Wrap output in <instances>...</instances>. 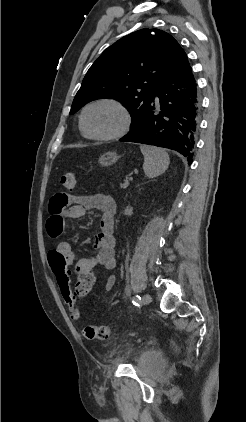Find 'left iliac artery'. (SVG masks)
<instances>
[{
    "mask_svg": "<svg viewBox=\"0 0 246 422\" xmlns=\"http://www.w3.org/2000/svg\"><path fill=\"white\" fill-rule=\"evenodd\" d=\"M140 301H141V298L139 295H135L132 299V302L134 305H139Z\"/></svg>",
    "mask_w": 246,
    "mask_h": 422,
    "instance_id": "obj_1",
    "label": "left iliac artery"
}]
</instances>
